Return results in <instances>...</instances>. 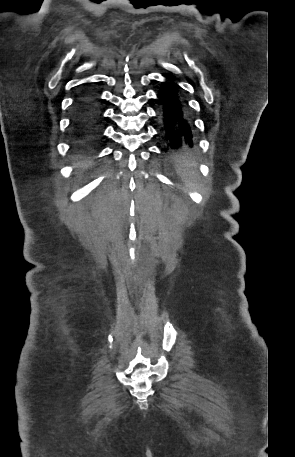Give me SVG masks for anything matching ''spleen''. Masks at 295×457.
<instances>
[{"mask_svg":"<svg viewBox=\"0 0 295 457\" xmlns=\"http://www.w3.org/2000/svg\"><path fill=\"white\" fill-rule=\"evenodd\" d=\"M193 165L194 164L189 161H185V160L181 161L180 165H179V173L182 175L184 181L186 182V185L190 189L195 190L196 184L191 181Z\"/></svg>","mask_w":295,"mask_h":457,"instance_id":"3e777b00","label":"spleen"}]
</instances>
